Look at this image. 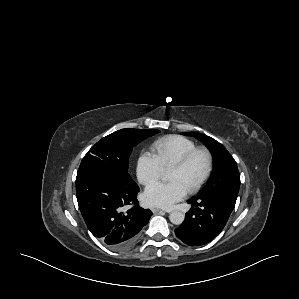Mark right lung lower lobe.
I'll return each instance as SVG.
<instances>
[{"mask_svg": "<svg viewBox=\"0 0 299 299\" xmlns=\"http://www.w3.org/2000/svg\"><path fill=\"white\" fill-rule=\"evenodd\" d=\"M136 185H127L109 171L90 168L77 173L79 209L90 232L115 251L129 249L152 216L138 205Z\"/></svg>", "mask_w": 299, "mask_h": 299, "instance_id": "98d812e1", "label": "right lung lower lobe"}]
</instances>
